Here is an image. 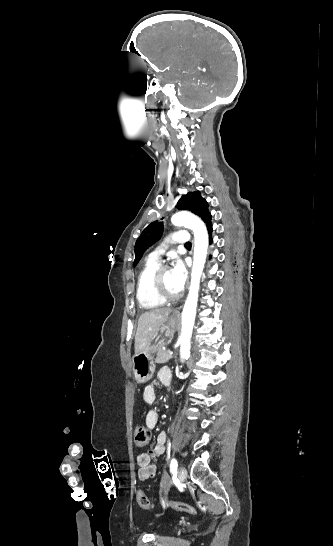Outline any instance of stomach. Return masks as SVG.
<instances>
[{
  "instance_id": "1",
  "label": "stomach",
  "mask_w": 333,
  "mask_h": 546,
  "mask_svg": "<svg viewBox=\"0 0 333 546\" xmlns=\"http://www.w3.org/2000/svg\"><path fill=\"white\" fill-rule=\"evenodd\" d=\"M177 323L175 318H169L165 324L159 327L146 348L132 357V371L138 383H145L152 378L155 371L152 355L172 341Z\"/></svg>"
}]
</instances>
